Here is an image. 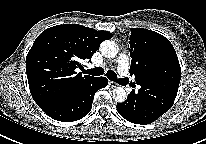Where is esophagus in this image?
<instances>
[{
	"mask_svg": "<svg viewBox=\"0 0 206 144\" xmlns=\"http://www.w3.org/2000/svg\"><path fill=\"white\" fill-rule=\"evenodd\" d=\"M109 85L114 88V87H117L118 86V83L115 82V81H109Z\"/></svg>",
	"mask_w": 206,
	"mask_h": 144,
	"instance_id": "1",
	"label": "esophagus"
}]
</instances>
